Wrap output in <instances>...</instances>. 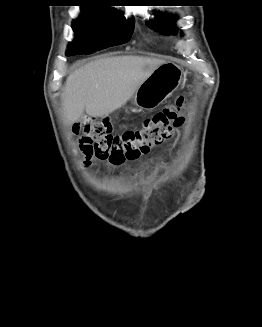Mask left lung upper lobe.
<instances>
[{"instance_id": "1", "label": "left lung upper lobe", "mask_w": 262, "mask_h": 327, "mask_svg": "<svg viewBox=\"0 0 262 327\" xmlns=\"http://www.w3.org/2000/svg\"><path fill=\"white\" fill-rule=\"evenodd\" d=\"M147 25L155 31H159L161 34L169 35L174 30V25L171 22L164 24L158 18L155 21L147 22Z\"/></svg>"}]
</instances>
